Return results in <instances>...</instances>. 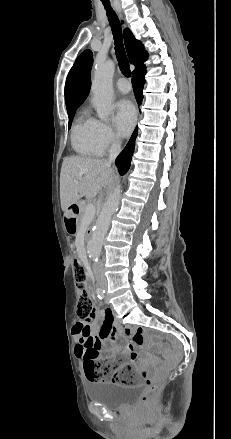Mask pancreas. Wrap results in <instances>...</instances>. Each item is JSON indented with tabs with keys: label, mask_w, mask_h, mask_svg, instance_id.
Listing matches in <instances>:
<instances>
[{
	"label": "pancreas",
	"mask_w": 231,
	"mask_h": 439,
	"mask_svg": "<svg viewBox=\"0 0 231 439\" xmlns=\"http://www.w3.org/2000/svg\"><path fill=\"white\" fill-rule=\"evenodd\" d=\"M87 204H88L87 201H82L79 204V206H80V219H79V223L80 224H82L83 221H84Z\"/></svg>",
	"instance_id": "cf45deb5"
}]
</instances>
